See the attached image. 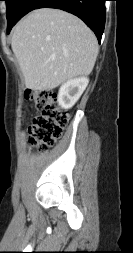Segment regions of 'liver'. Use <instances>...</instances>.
<instances>
[{
  "label": "liver",
  "instance_id": "obj_1",
  "mask_svg": "<svg viewBox=\"0 0 133 253\" xmlns=\"http://www.w3.org/2000/svg\"><path fill=\"white\" fill-rule=\"evenodd\" d=\"M11 47L32 90H51L87 76L94 68L98 42L78 17L58 9L30 12L13 29Z\"/></svg>",
  "mask_w": 133,
  "mask_h": 253
}]
</instances>
